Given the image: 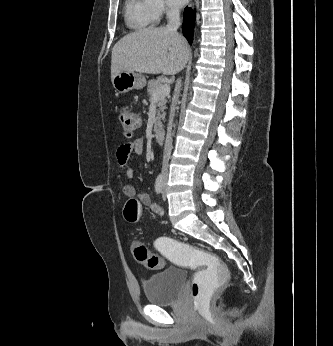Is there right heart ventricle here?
Masks as SVG:
<instances>
[{
  "label": "right heart ventricle",
  "mask_w": 333,
  "mask_h": 346,
  "mask_svg": "<svg viewBox=\"0 0 333 346\" xmlns=\"http://www.w3.org/2000/svg\"><path fill=\"white\" fill-rule=\"evenodd\" d=\"M125 21L132 29H144L153 25L146 0H126Z\"/></svg>",
  "instance_id": "right-heart-ventricle-1"
}]
</instances>
